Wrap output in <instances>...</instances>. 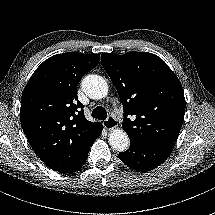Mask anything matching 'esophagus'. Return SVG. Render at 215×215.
I'll return each instance as SVG.
<instances>
[{"label":"esophagus","mask_w":215,"mask_h":215,"mask_svg":"<svg viewBox=\"0 0 215 215\" xmlns=\"http://www.w3.org/2000/svg\"><path fill=\"white\" fill-rule=\"evenodd\" d=\"M103 126L106 130H113L114 128L117 127L118 123L116 119L112 116L109 115L104 121H103Z\"/></svg>","instance_id":"obj_1"}]
</instances>
